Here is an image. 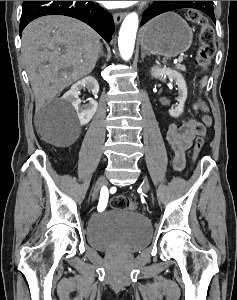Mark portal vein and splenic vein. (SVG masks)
<instances>
[{"mask_svg":"<svg viewBox=\"0 0 237 300\" xmlns=\"http://www.w3.org/2000/svg\"><path fill=\"white\" fill-rule=\"evenodd\" d=\"M184 62L182 61V57L179 58V65H182Z\"/></svg>","mask_w":237,"mask_h":300,"instance_id":"portal-vein-and-splenic-vein-1","label":"portal vein and splenic vein"}]
</instances>
